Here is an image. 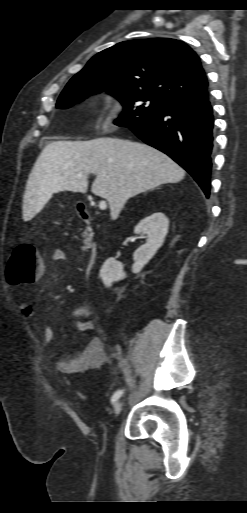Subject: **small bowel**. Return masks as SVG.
<instances>
[{
  "label": "small bowel",
  "instance_id": "small-bowel-1",
  "mask_svg": "<svg viewBox=\"0 0 247 513\" xmlns=\"http://www.w3.org/2000/svg\"><path fill=\"white\" fill-rule=\"evenodd\" d=\"M52 259L53 261H64L66 255L64 251L57 249L53 253ZM22 305L21 313L23 316L31 318L34 314L33 308L26 302H23ZM90 315L91 310L87 305H81L73 311L72 316L80 332L89 333L96 329L94 322L89 319ZM39 331L43 343L48 345L53 341L54 330L52 327L44 325L39 327ZM120 355V345H114L108 353L102 340L93 337L80 353L71 356L59 355L55 360V367L62 373H83L102 366L108 360V357L118 359Z\"/></svg>",
  "mask_w": 247,
  "mask_h": 513
}]
</instances>
